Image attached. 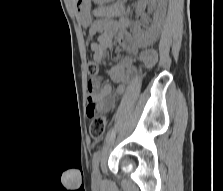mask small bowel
I'll use <instances>...</instances> for the list:
<instances>
[{"mask_svg": "<svg viewBox=\"0 0 223 191\" xmlns=\"http://www.w3.org/2000/svg\"><path fill=\"white\" fill-rule=\"evenodd\" d=\"M98 1V0H97ZM117 6H99L95 10V19L91 25L89 34L91 37L98 35L97 41L91 44L94 53V60L101 63L108 54V50L113 46L114 37L117 38L120 47L128 53L119 63L105 70L112 81L118 83L117 94L125 90V82L131 74L134 65V57L139 56L144 67L153 66L157 61V53L154 49H145L139 53L137 41L128 32L129 20L126 18L114 19L113 16L118 12ZM100 80L92 79L88 82L89 92L87 114L92 116L89 109L94 108L95 112L108 111L114 102L112 87L105 83L100 91L98 87Z\"/></svg>", "mask_w": 223, "mask_h": 191, "instance_id": "c3829d8e", "label": "small bowel"}]
</instances>
